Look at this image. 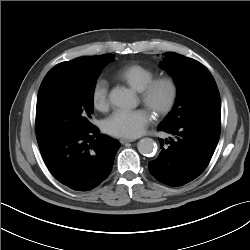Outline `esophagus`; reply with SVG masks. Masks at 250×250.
I'll return each instance as SVG.
<instances>
[{
  "label": "esophagus",
  "instance_id": "34e87169",
  "mask_svg": "<svg viewBox=\"0 0 250 250\" xmlns=\"http://www.w3.org/2000/svg\"><path fill=\"white\" fill-rule=\"evenodd\" d=\"M135 141L134 139H127V138H122L120 139L121 144H126Z\"/></svg>",
  "mask_w": 250,
  "mask_h": 250
}]
</instances>
